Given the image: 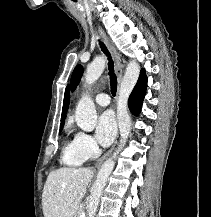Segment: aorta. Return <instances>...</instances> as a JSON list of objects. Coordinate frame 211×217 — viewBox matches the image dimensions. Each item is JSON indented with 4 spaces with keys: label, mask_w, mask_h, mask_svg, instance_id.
<instances>
[{
    "label": "aorta",
    "mask_w": 211,
    "mask_h": 217,
    "mask_svg": "<svg viewBox=\"0 0 211 217\" xmlns=\"http://www.w3.org/2000/svg\"><path fill=\"white\" fill-rule=\"evenodd\" d=\"M104 69L105 59L101 56L96 57L94 61L87 66L85 72L86 84L91 85L97 81L102 75ZM139 74V64L135 60H130L118 91L117 118L121 136L120 144L113 155L102 164L98 171L97 179L91 189L88 205V217L95 216L101 193L114 168L115 159L118 153L125 146L130 135L131 118L128 113V99L138 80ZM75 121L83 131L91 132L95 128L97 123V113L95 105L89 96H85L79 101L75 111Z\"/></svg>",
    "instance_id": "762f6f07"
}]
</instances>
